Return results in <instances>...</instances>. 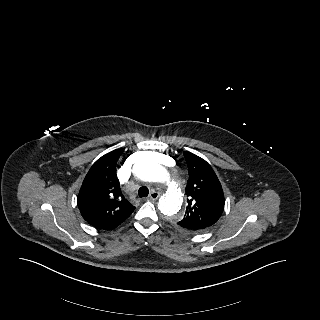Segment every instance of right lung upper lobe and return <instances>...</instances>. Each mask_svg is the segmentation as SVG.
I'll use <instances>...</instances> for the list:
<instances>
[{"instance_id": "obj_1", "label": "right lung upper lobe", "mask_w": 320, "mask_h": 320, "mask_svg": "<svg viewBox=\"0 0 320 320\" xmlns=\"http://www.w3.org/2000/svg\"><path fill=\"white\" fill-rule=\"evenodd\" d=\"M122 152L113 150L92 165L77 198L83 218L100 230L116 228L135 209L124 198L116 175V163Z\"/></svg>"}]
</instances>
